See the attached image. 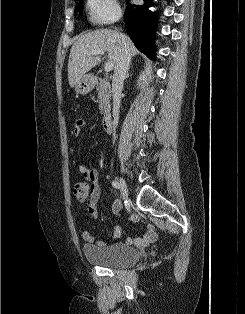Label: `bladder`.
Listing matches in <instances>:
<instances>
[{"instance_id": "1", "label": "bladder", "mask_w": 245, "mask_h": 314, "mask_svg": "<svg viewBox=\"0 0 245 314\" xmlns=\"http://www.w3.org/2000/svg\"><path fill=\"white\" fill-rule=\"evenodd\" d=\"M85 259L92 264L107 267H125L138 260V252L123 243H110L103 246L85 245Z\"/></svg>"}]
</instances>
